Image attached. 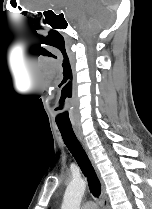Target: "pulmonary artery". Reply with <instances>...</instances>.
<instances>
[{"label": "pulmonary artery", "instance_id": "e3ab8cb5", "mask_svg": "<svg viewBox=\"0 0 152 209\" xmlns=\"http://www.w3.org/2000/svg\"><path fill=\"white\" fill-rule=\"evenodd\" d=\"M81 209H97V206L94 202L88 201L81 206Z\"/></svg>", "mask_w": 152, "mask_h": 209}]
</instances>
